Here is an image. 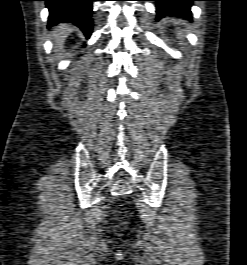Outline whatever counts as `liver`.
Segmentation results:
<instances>
[{"label":"liver","instance_id":"6515ba94","mask_svg":"<svg viewBox=\"0 0 247 265\" xmlns=\"http://www.w3.org/2000/svg\"><path fill=\"white\" fill-rule=\"evenodd\" d=\"M73 31L70 24H60L56 26L52 32V37L57 48H61L67 36Z\"/></svg>","mask_w":247,"mask_h":265}]
</instances>
